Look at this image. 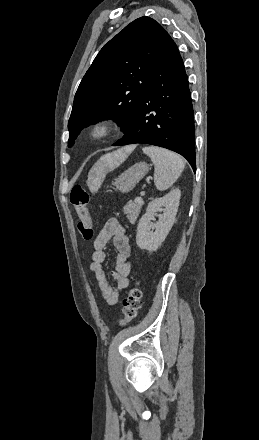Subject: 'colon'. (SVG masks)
I'll return each mask as SVG.
<instances>
[{
	"instance_id": "obj_1",
	"label": "colon",
	"mask_w": 259,
	"mask_h": 440,
	"mask_svg": "<svg viewBox=\"0 0 259 440\" xmlns=\"http://www.w3.org/2000/svg\"><path fill=\"white\" fill-rule=\"evenodd\" d=\"M69 200L79 218L78 230L80 234L83 239L91 240L94 236V230L88 211L89 194L81 185H75L70 190ZM141 297L142 294L139 288V283L136 282L123 300V316L119 320L120 325L129 323L137 316L141 307Z\"/></svg>"
}]
</instances>
